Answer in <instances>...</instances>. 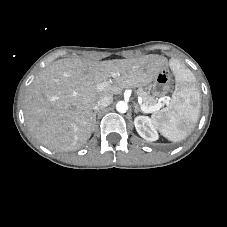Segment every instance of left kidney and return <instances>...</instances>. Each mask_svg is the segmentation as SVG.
Here are the masks:
<instances>
[{
  "label": "left kidney",
  "mask_w": 227,
  "mask_h": 227,
  "mask_svg": "<svg viewBox=\"0 0 227 227\" xmlns=\"http://www.w3.org/2000/svg\"><path fill=\"white\" fill-rule=\"evenodd\" d=\"M134 125L138 134L145 140L155 141L158 139L156 127L148 116H137L134 119Z\"/></svg>",
  "instance_id": "left-kidney-1"
}]
</instances>
